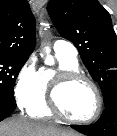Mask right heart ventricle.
Wrapping results in <instances>:
<instances>
[{
  "label": "right heart ventricle",
  "instance_id": "e07e8e85",
  "mask_svg": "<svg viewBox=\"0 0 117 136\" xmlns=\"http://www.w3.org/2000/svg\"><path fill=\"white\" fill-rule=\"evenodd\" d=\"M56 56L59 62L56 70L49 68H42L40 70L39 93L35 100L27 107V112L32 117L47 118L52 116V112L49 109L47 101L51 81L60 71L79 70L78 60H72L59 54H56Z\"/></svg>",
  "mask_w": 117,
  "mask_h": 136
}]
</instances>
